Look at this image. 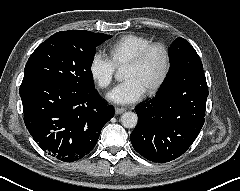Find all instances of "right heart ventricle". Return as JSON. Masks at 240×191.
Returning <instances> with one entry per match:
<instances>
[{
	"mask_svg": "<svg viewBox=\"0 0 240 191\" xmlns=\"http://www.w3.org/2000/svg\"><path fill=\"white\" fill-rule=\"evenodd\" d=\"M150 43L152 41L142 35L129 34L122 36L109 45L110 59L115 66L122 65Z\"/></svg>",
	"mask_w": 240,
	"mask_h": 191,
	"instance_id": "right-heart-ventricle-1",
	"label": "right heart ventricle"
}]
</instances>
